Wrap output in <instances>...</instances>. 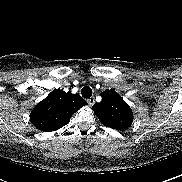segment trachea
Wrapping results in <instances>:
<instances>
[{"label": "trachea", "mask_w": 182, "mask_h": 182, "mask_svg": "<svg viewBox=\"0 0 182 182\" xmlns=\"http://www.w3.org/2000/svg\"><path fill=\"white\" fill-rule=\"evenodd\" d=\"M82 97L90 98L92 96V89L89 86H84L81 90Z\"/></svg>", "instance_id": "obj_1"}]
</instances>
